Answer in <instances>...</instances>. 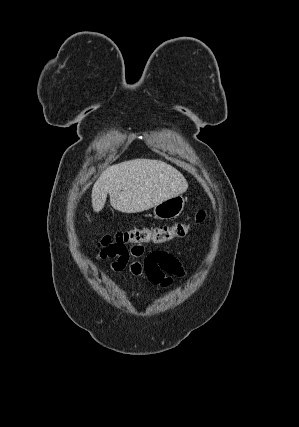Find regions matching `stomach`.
<instances>
[{"instance_id":"0dacf381","label":"stomach","mask_w":299,"mask_h":427,"mask_svg":"<svg viewBox=\"0 0 299 427\" xmlns=\"http://www.w3.org/2000/svg\"><path fill=\"white\" fill-rule=\"evenodd\" d=\"M185 207L182 195L169 198L153 207V215L159 220H172L177 218Z\"/></svg>"}]
</instances>
